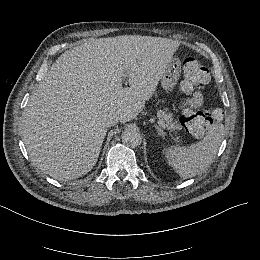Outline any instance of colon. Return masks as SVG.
<instances>
[{
  "mask_svg": "<svg viewBox=\"0 0 260 260\" xmlns=\"http://www.w3.org/2000/svg\"><path fill=\"white\" fill-rule=\"evenodd\" d=\"M210 80V73L198 59L189 57L183 64V80L181 90L184 94L182 100V123L192 134L198 135L210 123L209 114L202 108L193 107L195 102L201 103L200 91L204 90ZM191 107V108H188Z\"/></svg>",
  "mask_w": 260,
  "mask_h": 260,
  "instance_id": "colon-1",
  "label": "colon"
}]
</instances>
